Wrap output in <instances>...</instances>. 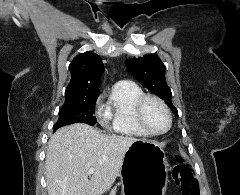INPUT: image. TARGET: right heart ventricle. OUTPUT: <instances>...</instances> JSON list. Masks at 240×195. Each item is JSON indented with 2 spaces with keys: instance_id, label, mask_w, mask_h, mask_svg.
<instances>
[{
  "instance_id": "1",
  "label": "right heart ventricle",
  "mask_w": 240,
  "mask_h": 195,
  "mask_svg": "<svg viewBox=\"0 0 240 195\" xmlns=\"http://www.w3.org/2000/svg\"><path fill=\"white\" fill-rule=\"evenodd\" d=\"M144 95L142 89L130 81L118 82L110 94L104 125L114 136L148 137L136 119L137 101Z\"/></svg>"
}]
</instances>
